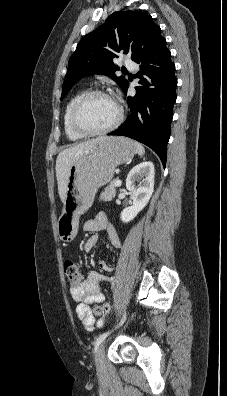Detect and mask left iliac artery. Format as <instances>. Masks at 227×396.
I'll return each mask as SVG.
<instances>
[{"label": "left iliac artery", "mask_w": 227, "mask_h": 396, "mask_svg": "<svg viewBox=\"0 0 227 396\" xmlns=\"http://www.w3.org/2000/svg\"><path fill=\"white\" fill-rule=\"evenodd\" d=\"M126 320V313L123 315V318L121 319L119 326L122 325ZM110 334V331L105 332L101 335L98 336V338L95 341V347H94V351L96 352L99 345L101 344V342H103V340Z\"/></svg>", "instance_id": "obj_1"}]
</instances>
